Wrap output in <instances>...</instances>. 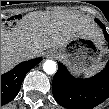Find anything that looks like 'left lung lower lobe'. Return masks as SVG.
<instances>
[{"mask_svg": "<svg viewBox=\"0 0 109 109\" xmlns=\"http://www.w3.org/2000/svg\"><path fill=\"white\" fill-rule=\"evenodd\" d=\"M96 22L102 27L109 43L105 26L97 19ZM58 65L52 81V92L61 106L67 109H92L109 97V61L104 70L87 79L75 78L63 64Z\"/></svg>", "mask_w": 109, "mask_h": 109, "instance_id": "left-lung-lower-lobe-1", "label": "left lung lower lobe"}]
</instances>
